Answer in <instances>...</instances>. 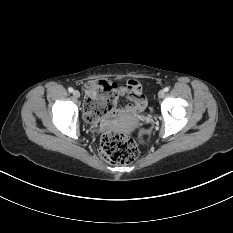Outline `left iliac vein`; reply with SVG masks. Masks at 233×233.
<instances>
[{
  "label": "left iliac vein",
  "mask_w": 233,
  "mask_h": 233,
  "mask_svg": "<svg viewBox=\"0 0 233 233\" xmlns=\"http://www.w3.org/2000/svg\"><path fill=\"white\" fill-rule=\"evenodd\" d=\"M164 96H165L164 90H160V91L158 92V97H159V98H163Z\"/></svg>",
  "instance_id": "1"
}]
</instances>
